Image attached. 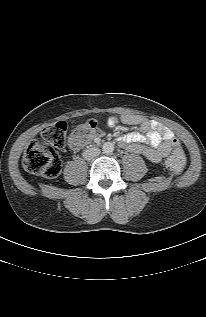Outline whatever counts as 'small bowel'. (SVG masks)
Wrapping results in <instances>:
<instances>
[{"label": "small bowel", "mask_w": 206, "mask_h": 317, "mask_svg": "<svg viewBox=\"0 0 206 317\" xmlns=\"http://www.w3.org/2000/svg\"><path fill=\"white\" fill-rule=\"evenodd\" d=\"M126 125H136L139 131H126L119 137L121 146L133 153L141 154L154 163L162 161L169 155L172 148L179 142L175 139L173 132L160 123L150 120L141 115L124 114L117 117H111L108 124L111 127L118 128V123ZM86 141H77L74 135L70 138V146L73 149H80ZM147 143L150 146H144Z\"/></svg>", "instance_id": "small-bowel-1"}]
</instances>
